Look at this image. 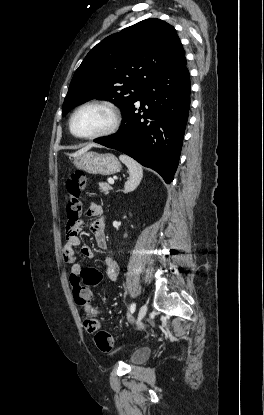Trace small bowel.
<instances>
[{"label": "small bowel", "mask_w": 264, "mask_h": 415, "mask_svg": "<svg viewBox=\"0 0 264 415\" xmlns=\"http://www.w3.org/2000/svg\"><path fill=\"white\" fill-rule=\"evenodd\" d=\"M86 215L98 217L90 224V231L95 239L97 247L101 250H105L107 247V240L105 236V220L102 216V206L97 203L92 204L86 211ZM83 225V220H79L77 223V230H81ZM75 248H80L82 255L87 258H92L94 254L89 246L81 245V241L76 235L66 237V243L62 248V258L65 263L70 265V275L79 276L82 272L83 264L82 262L76 261ZM104 266L107 278L110 281H115L119 273L117 261L111 256H106L104 258Z\"/></svg>", "instance_id": "c3829d8e"}]
</instances>
